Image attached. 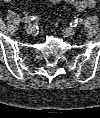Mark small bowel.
<instances>
[{
    "label": "small bowel",
    "mask_w": 100,
    "mask_h": 118,
    "mask_svg": "<svg viewBox=\"0 0 100 118\" xmlns=\"http://www.w3.org/2000/svg\"><path fill=\"white\" fill-rule=\"evenodd\" d=\"M5 3H9L12 0H2ZM51 3H60L65 2L67 4H70L74 6L78 11H84L90 8H94L96 6L95 0H48Z\"/></svg>",
    "instance_id": "c3829d8e"
}]
</instances>
